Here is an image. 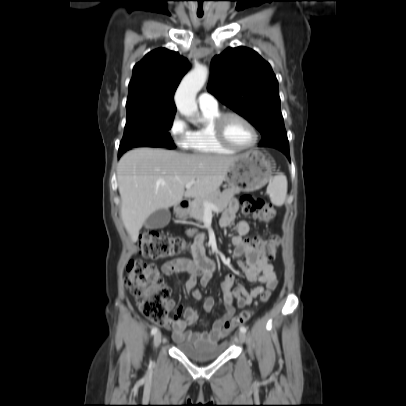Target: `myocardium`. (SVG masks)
Instances as JSON below:
<instances>
[{
	"mask_svg": "<svg viewBox=\"0 0 406 406\" xmlns=\"http://www.w3.org/2000/svg\"><path fill=\"white\" fill-rule=\"evenodd\" d=\"M230 117H234V118L241 120L251 129L254 138H253V142L250 145H248L246 147H238V146L233 145L227 139L226 134H225V123H226L227 119ZM213 131H214V135H215V138L218 141V143H220L225 148H228V149L236 151V152L247 151V150L254 148L257 145L258 140H259V134H258V131H257L256 127L254 126V124L244 115H242L238 112H235V111H228V112L220 113V115L215 119V121L213 123Z\"/></svg>",
	"mask_w": 406,
	"mask_h": 406,
	"instance_id": "f54148a6",
	"label": "myocardium"
}]
</instances>
